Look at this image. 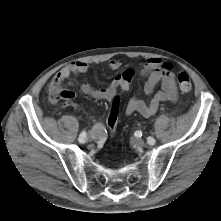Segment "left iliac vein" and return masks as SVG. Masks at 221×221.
I'll list each match as a JSON object with an SVG mask.
<instances>
[{
  "label": "left iliac vein",
  "instance_id": "4c4485c4",
  "mask_svg": "<svg viewBox=\"0 0 221 221\" xmlns=\"http://www.w3.org/2000/svg\"><path fill=\"white\" fill-rule=\"evenodd\" d=\"M134 144H136L137 146H144L145 145V141L141 138H134L133 139ZM155 139L153 138V143L155 144Z\"/></svg>",
  "mask_w": 221,
  "mask_h": 221
}]
</instances>
